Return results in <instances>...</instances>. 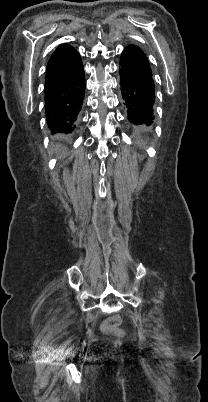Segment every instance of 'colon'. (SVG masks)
<instances>
[{"label": "colon", "instance_id": "colon-1", "mask_svg": "<svg viewBox=\"0 0 208 402\" xmlns=\"http://www.w3.org/2000/svg\"><path fill=\"white\" fill-rule=\"evenodd\" d=\"M120 326L119 318H106L105 325L103 326V331L105 333H110L115 327Z\"/></svg>", "mask_w": 208, "mask_h": 402}]
</instances>
